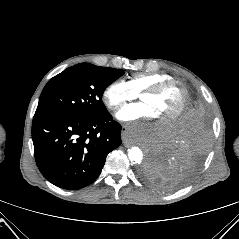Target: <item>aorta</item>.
Masks as SVG:
<instances>
[{
  "instance_id": "obj_1",
  "label": "aorta",
  "mask_w": 239,
  "mask_h": 239,
  "mask_svg": "<svg viewBox=\"0 0 239 239\" xmlns=\"http://www.w3.org/2000/svg\"><path fill=\"white\" fill-rule=\"evenodd\" d=\"M128 158L131 162L141 163L143 160V152L139 147H131L128 149Z\"/></svg>"
}]
</instances>
